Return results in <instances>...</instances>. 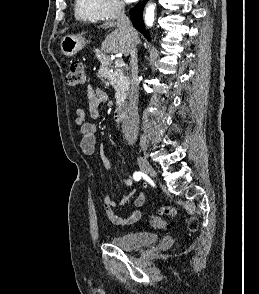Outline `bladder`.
Returning a JSON list of instances; mask_svg holds the SVG:
<instances>
[{
	"label": "bladder",
	"mask_w": 259,
	"mask_h": 294,
	"mask_svg": "<svg viewBox=\"0 0 259 294\" xmlns=\"http://www.w3.org/2000/svg\"><path fill=\"white\" fill-rule=\"evenodd\" d=\"M158 234L153 232H130L110 239V243L122 250H136L156 243Z\"/></svg>",
	"instance_id": "31cf9c89"
}]
</instances>
